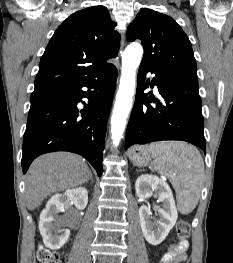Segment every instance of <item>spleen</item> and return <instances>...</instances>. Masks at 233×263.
I'll return each instance as SVG.
<instances>
[{
    "mask_svg": "<svg viewBox=\"0 0 233 263\" xmlns=\"http://www.w3.org/2000/svg\"><path fill=\"white\" fill-rule=\"evenodd\" d=\"M154 169L167 177L176 192L177 207L189 214L198 204L203 180L204 162L198 149L181 141H162L149 146Z\"/></svg>",
    "mask_w": 233,
    "mask_h": 263,
    "instance_id": "spleen-1",
    "label": "spleen"
}]
</instances>
